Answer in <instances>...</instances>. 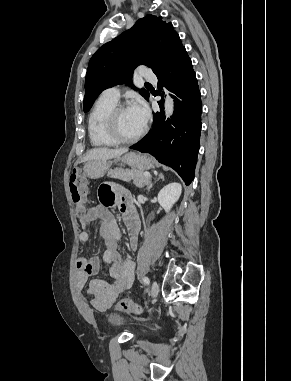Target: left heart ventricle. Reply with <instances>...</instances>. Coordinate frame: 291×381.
Here are the masks:
<instances>
[{
	"mask_svg": "<svg viewBox=\"0 0 291 381\" xmlns=\"http://www.w3.org/2000/svg\"><path fill=\"white\" fill-rule=\"evenodd\" d=\"M143 127L144 125L130 107L120 113L118 117V130L123 137H133L137 135Z\"/></svg>",
	"mask_w": 291,
	"mask_h": 381,
	"instance_id": "left-heart-ventricle-1",
	"label": "left heart ventricle"
}]
</instances>
